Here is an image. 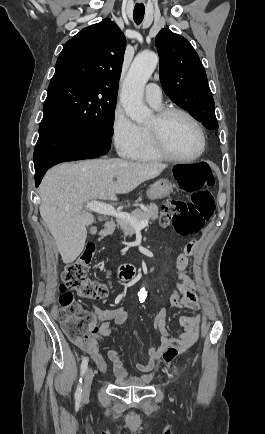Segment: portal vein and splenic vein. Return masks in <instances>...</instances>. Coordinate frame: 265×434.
Here are the masks:
<instances>
[{
	"mask_svg": "<svg viewBox=\"0 0 265 434\" xmlns=\"http://www.w3.org/2000/svg\"><path fill=\"white\" fill-rule=\"evenodd\" d=\"M86 210L89 212H97V214H104V216H113V218H117V220H122V222H129L131 226H134L135 230H143L148 226V220H144V222H138L132 214H128V212H117L113 206H109V204H102V202H97V200H91V202H87Z\"/></svg>",
	"mask_w": 265,
	"mask_h": 434,
	"instance_id": "1",
	"label": "portal vein and splenic vein"
}]
</instances>
